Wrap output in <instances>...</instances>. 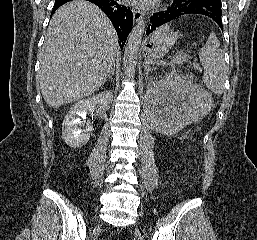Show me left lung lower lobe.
Here are the masks:
<instances>
[{
  "mask_svg": "<svg viewBox=\"0 0 257 240\" xmlns=\"http://www.w3.org/2000/svg\"><path fill=\"white\" fill-rule=\"evenodd\" d=\"M188 14L206 16L215 21L223 31L221 0H173L165 11L151 16L146 34L148 35L159 26Z\"/></svg>",
  "mask_w": 257,
  "mask_h": 240,
  "instance_id": "left-lung-lower-lobe-1",
  "label": "left lung lower lobe"
}]
</instances>
